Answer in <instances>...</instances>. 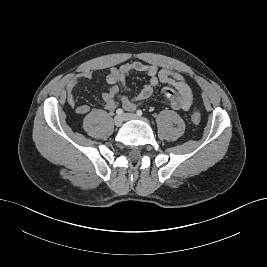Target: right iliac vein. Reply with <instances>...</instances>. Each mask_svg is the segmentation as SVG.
<instances>
[{"mask_svg":"<svg viewBox=\"0 0 267 267\" xmlns=\"http://www.w3.org/2000/svg\"><path fill=\"white\" fill-rule=\"evenodd\" d=\"M123 121H124V117L121 116V115H117V116H115V118H114V124H115V126H117V127L121 126L122 123H123Z\"/></svg>","mask_w":267,"mask_h":267,"instance_id":"1","label":"right iliac vein"}]
</instances>
